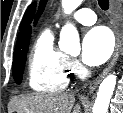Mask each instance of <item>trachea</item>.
Here are the masks:
<instances>
[{
	"mask_svg": "<svg viewBox=\"0 0 123 113\" xmlns=\"http://www.w3.org/2000/svg\"><path fill=\"white\" fill-rule=\"evenodd\" d=\"M98 4L102 10H108V8H109V1L108 0H98Z\"/></svg>",
	"mask_w": 123,
	"mask_h": 113,
	"instance_id": "1",
	"label": "trachea"
}]
</instances>
